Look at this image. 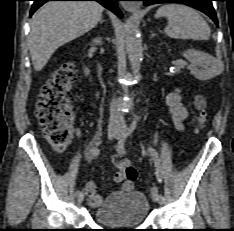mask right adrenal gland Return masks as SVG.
Instances as JSON below:
<instances>
[{
  "instance_id": "right-adrenal-gland-1",
  "label": "right adrenal gland",
  "mask_w": 234,
  "mask_h": 231,
  "mask_svg": "<svg viewBox=\"0 0 234 231\" xmlns=\"http://www.w3.org/2000/svg\"><path fill=\"white\" fill-rule=\"evenodd\" d=\"M104 21H105V20H103V19H102V20H100V24H102Z\"/></svg>"
}]
</instances>
